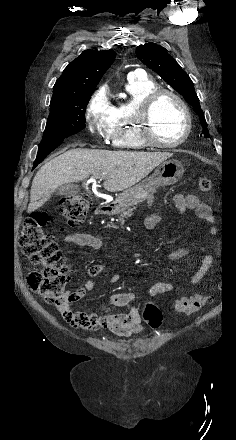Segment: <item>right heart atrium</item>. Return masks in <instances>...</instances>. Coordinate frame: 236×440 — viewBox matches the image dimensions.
I'll return each instance as SVG.
<instances>
[{
    "label": "right heart atrium",
    "mask_w": 236,
    "mask_h": 440,
    "mask_svg": "<svg viewBox=\"0 0 236 440\" xmlns=\"http://www.w3.org/2000/svg\"><path fill=\"white\" fill-rule=\"evenodd\" d=\"M112 113L113 106L108 99V91L102 86L92 94L85 109L88 131L98 139L110 140Z\"/></svg>",
    "instance_id": "d8ad5b80"
}]
</instances>
